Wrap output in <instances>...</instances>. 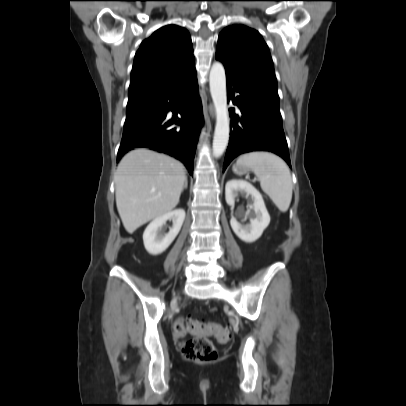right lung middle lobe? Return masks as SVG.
Returning a JSON list of instances; mask_svg holds the SVG:
<instances>
[{"instance_id": "obj_1", "label": "right lung middle lobe", "mask_w": 406, "mask_h": 406, "mask_svg": "<svg viewBox=\"0 0 406 406\" xmlns=\"http://www.w3.org/2000/svg\"><path fill=\"white\" fill-rule=\"evenodd\" d=\"M151 115L149 101L127 106L125 127L133 126Z\"/></svg>"}]
</instances>
